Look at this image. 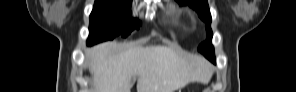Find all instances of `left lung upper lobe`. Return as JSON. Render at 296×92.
<instances>
[{
    "mask_svg": "<svg viewBox=\"0 0 296 92\" xmlns=\"http://www.w3.org/2000/svg\"><path fill=\"white\" fill-rule=\"evenodd\" d=\"M182 5H189L193 8L199 15V17L206 23V41L202 43L198 50L210 61L215 62L214 48L211 44L212 40V30L211 24V14L209 11V6L207 0H176Z\"/></svg>",
    "mask_w": 296,
    "mask_h": 92,
    "instance_id": "obj_1",
    "label": "left lung upper lobe"
}]
</instances>
